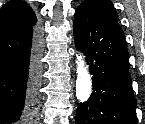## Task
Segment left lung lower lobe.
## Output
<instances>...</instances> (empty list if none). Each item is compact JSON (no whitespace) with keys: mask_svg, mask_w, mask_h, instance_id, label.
I'll return each instance as SVG.
<instances>
[{"mask_svg":"<svg viewBox=\"0 0 145 124\" xmlns=\"http://www.w3.org/2000/svg\"><path fill=\"white\" fill-rule=\"evenodd\" d=\"M73 31L75 45L86 56L93 75V92L78 106L76 124H138L128 50L120 26L78 8Z\"/></svg>","mask_w":145,"mask_h":124,"instance_id":"left-lung-lower-lobe-1","label":"left lung lower lobe"}]
</instances>
